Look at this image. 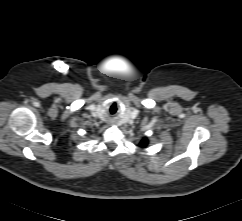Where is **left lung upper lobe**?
Wrapping results in <instances>:
<instances>
[{
	"mask_svg": "<svg viewBox=\"0 0 242 221\" xmlns=\"http://www.w3.org/2000/svg\"><path fill=\"white\" fill-rule=\"evenodd\" d=\"M147 139L146 138H144L142 141H141V146L142 147H145L146 145H147Z\"/></svg>",
	"mask_w": 242,
	"mask_h": 221,
	"instance_id": "obj_1",
	"label": "left lung upper lobe"
}]
</instances>
